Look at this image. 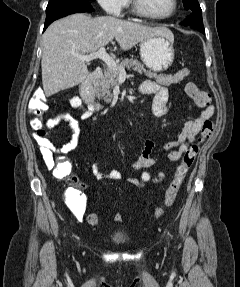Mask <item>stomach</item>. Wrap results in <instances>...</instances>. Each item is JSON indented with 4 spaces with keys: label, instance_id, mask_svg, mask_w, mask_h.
I'll return each mask as SVG.
<instances>
[{
    "label": "stomach",
    "instance_id": "stomach-1",
    "mask_svg": "<svg viewBox=\"0 0 240 287\" xmlns=\"http://www.w3.org/2000/svg\"><path fill=\"white\" fill-rule=\"evenodd\" d=\"M174 36H154L140 43V57L143 63L155 72L168 69L175 57Z\"/></svg>",
    "mask_w": 240,
    "mask_h": 287
}]
</instances>
